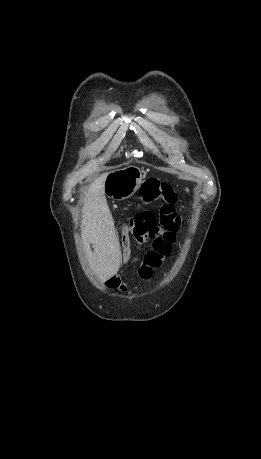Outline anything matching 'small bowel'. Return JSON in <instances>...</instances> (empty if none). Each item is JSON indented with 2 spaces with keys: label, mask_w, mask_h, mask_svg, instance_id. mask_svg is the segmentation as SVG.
<instances>
[{
  "label": "small bowel",
  "mask_w": 261,
  "mask_h": 459,
  "mask_svg": "<svg viewBox=\"0 0 261 459\" xmlns=\"http://www.w3.org/2000/svg\"><path fill=\"white\" fill-rule=\"evenodd\" d=\"M130 236L131 246L132 238L138 244H150V250L145 254L143 261L137 270L138 276L141 280L149 281L153 276L154 270L161 266L163 260L170 255L176 236L174 238H169L167 234H158L156 237H153L152 235L145 237L142 234H135L133 231ZM106 286L112 290H126L125 285L122 284L118 276H112L109 278L106 281Z\"/></svg>",
  "instance_id": "1"
}]
</instances>
